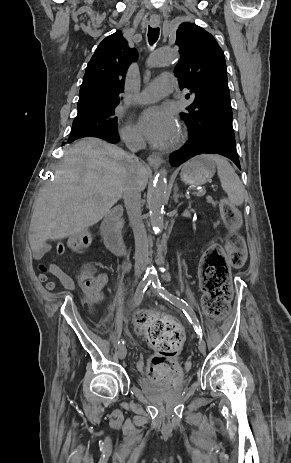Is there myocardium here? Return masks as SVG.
I'll use <instances>...</instances> for the list:
<instances>
[{"instance_id": "myocardium-1", "label": "myocardium", "mask_w": 291, "mask_h": 463, "mask_svg": "<svg viewBox=\"0 0 291 463\" xmlns=\"http://www.w3.org/2000/svg\"><path fill=\"white\" fill-rule=\"evenodd\" d=\"M184 137H185L184 130L182 128H178L171 141V147L179 146L183 142Z\"/></svg>"}]
</instances>
